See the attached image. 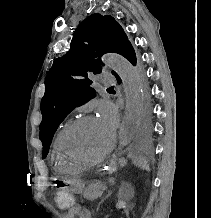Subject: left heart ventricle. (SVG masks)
<instances>
[{
	"instance_id": "b2bd125f",
	"label": "left heart ventricle",
	"mask_w": 211,
	"mask_h": 218,
	"mask_svg": "<svg viewBox=\"0 0 211 218\" xmlns=\"http://www.w3.org/2000/svg\"><path fill=\"white\" fill-rule=\"evenodd\" d=\"M113 133L95 118L77 127L66 148L67 158L88 160L104 152L112 142Z\"/></svg>"
}]
</instances>
